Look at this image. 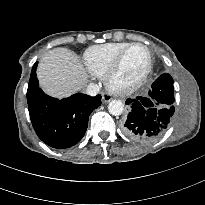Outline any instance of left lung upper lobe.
I'll use <instances>...</instances> for the list:
<instances>
[{"label": "left lung upper lobe", "mask_w": 205, "mask_h": 205, "mask_svg": "<svg viewBox=\"0 0 205 205\" xmlns=\"http://www.w3.org/2000/svg\"><path fill=\"white\" fill-rule=\"evenodd\" d=\"M154 87H158L159 89L163 91L169 92V96L172 97V103L174 102V89H173V79L169 74H162L151 86V90L154 89Z\"/></svg>", "instance_id": "obj_1"}]
</instances>
